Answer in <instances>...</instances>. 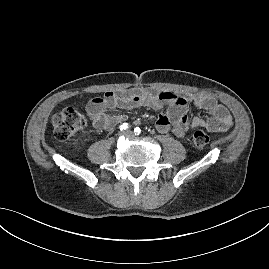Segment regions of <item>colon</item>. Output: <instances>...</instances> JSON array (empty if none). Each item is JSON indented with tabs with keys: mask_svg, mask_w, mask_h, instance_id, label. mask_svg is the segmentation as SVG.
I'll return each instance as SVG.
<instances>
[{
	"mask_svg": "<svg viewBox=\"0 0 269 269\" xmlns=\"http://www.w3.org/2000/svg\"><path fill=\"white\" fill-rule=\"evenodd\" d=\"M54 135L59 141H66L83 130L87 124L85 116L73 107H67L56 113L52 118ZM210 138L203 131L193 134V143L199 149L209 145Z\"/></svg>",
	"mask_w": 269,
	"mask_h": 269,
	"instance_id": "5ec220e1",
	"label": "colon"
}]
</instances>
